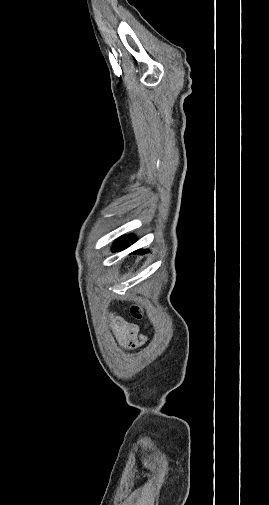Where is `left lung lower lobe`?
<instances>
[{"label": "left lung lower lobe", "instance_id": "1", "mask_svg": "<svg viewBox=\"0 0 269 505\" xmlns=\"http://www.w3.org/2000/svg\"><path fill=\"white\" fill-rule=\"evenodd\" d=\"M134 242H135V237L134 236H132V235L123 236V237H121L120 239H118L117 241L114 242V248L112 250L113 251H122V250L128 248ZM145 252H147V251H145V250H137L134 253L135 254H144Z\"/></svg>", "mask_w": 269, "mask_h": 505}]
</instances>
